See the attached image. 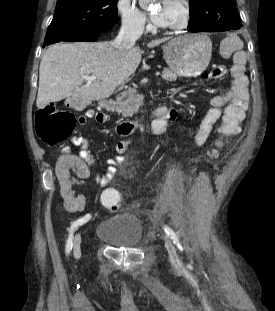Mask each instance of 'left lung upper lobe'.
I'll return each mask as SVG.
<instances>
[{
  "instance_id": "left-lung-upper-lobe-1",
  "label": "left lung upper lobe",
  "mask_w": 275,
  "mask_h": 311,
  "mask_svg": "<svg viewBox=\"0 0 275 311\" xmlns=\"http://www.w3.org/2000/svg\"><path fill=\"white\" fill-rule=\"evenodd\" d=\"M189 26L215 24L223 28L238 30L242 23L235 9L234 0H189Z\"/></svg>"
}]
</instances>
